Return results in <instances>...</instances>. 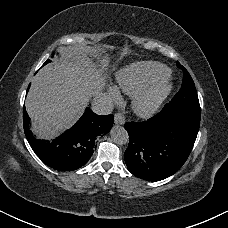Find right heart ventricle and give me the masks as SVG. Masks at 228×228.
Instances as JSON below:
<instances>
[{
    "label": "right heart ventricle",
    "mask_w": 228,
    "mask_h": 228,
    "mask_svg": "<svg viewBox=\"0 0 228 228\" xmlns=\"http://www.w3.org/2000/svg\"><path fill=\"white\" fill-rule=\"evenodd\" d=\"M168 71L156 63H144L120 75L119 82L123 89L130 95H135L150 85L165 79Z\"/></svg>",
    "instance_id": "right-heart-ventricle-1"
}]
</instances>
